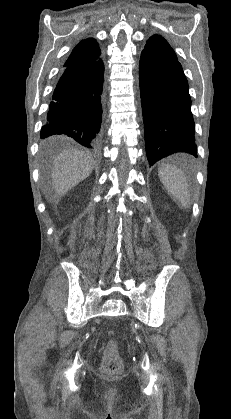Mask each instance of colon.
<instances>
[{"label":"colon","mask_w":231,"mask_h":419,"mask_svg":"<svg viewBox=\"0 0 231 419\" xmlns=\"http://www.w3.org/2000/svg\"><path fill=\"white\" fill-rule=\"evenodd\" d=\"M121 358L118 353L117 343L111 340L105 350L102 369L107 374L117 373L121 369Z\"/></svg>","instance_id":"colon-1"}]
</instances>
